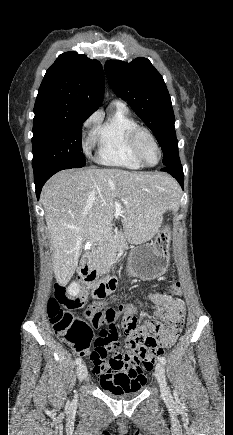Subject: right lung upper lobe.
<instances>
[{
    "mask_svg": "<svg viewBox=\"0 0 233 435\" xmlns=\"http://www.w3.org/2000/svg\"><path fill=\"white\" fill-rule=\"evenodd\" d=\"M104 97L99 61L65 52L47 70L34 106L35 117L91 115Z\"/></svg>",
    "mask_w": 233,
    "mask_h": 435,
    "instance_id": "obj_1",
    "label": "right lung upper lobe"
}]
</instances>
